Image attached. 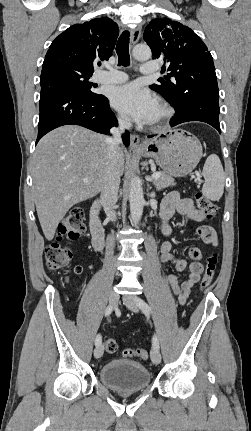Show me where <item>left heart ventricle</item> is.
<instances>
[{
    "label": "left heart ventricle",
    "instance_id": "left-heart-ventricle-1",
    "mask_svg": "<svg viewBox=\"0 0 251 431\" xmlns=\"http://www.w3.org/2000/svg\"><path fill=\"white\" fill-rule=\"evenodd\" d=\"M157 114H158V109H157L156 113L154 114L153 119L157 116Z\"/></svg>",
    "mask_w": 251,
    "mask_h": 431
}]
</instances>
